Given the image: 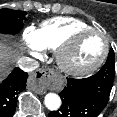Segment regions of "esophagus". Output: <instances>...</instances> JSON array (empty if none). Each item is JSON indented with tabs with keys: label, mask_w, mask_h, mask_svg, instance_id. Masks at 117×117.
I'll use <instances>...</instances> for the list:
<instances>
[{
	"label": "esophagus",
	"mask_w": 117,
	"mask_h": 117,
	"mask_svg": "<svg viewBox=\"0 0 117 117\" xmlns=\"http://www.w3.org/2000/svg\"><path fill=\"white\" fill-rule=\"evenodd\" d=\"M53 71L51 69H38L29 77L28 84L38 94H44L52 86Z\"/></svg>",
	"instance_id": "esophagus-1"
}]
</instances>
